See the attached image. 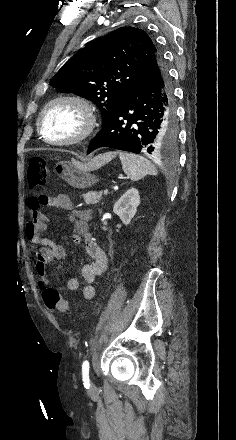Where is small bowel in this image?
<instances>
[{"label":"small bowel","mask_w":236,"mask_h":440,"mask_svg":"<svg viewBox=\"0 0 236 440\" xmlns=\"http://www.w3.org/2000/svg\"><path fill=\"white\" fill-rule=\"evenodd\" d=\"M29 219L25 225L27 240L37 249L35 251V271L38 275V284L41 288L47 285V267L55 261H61L66 257V250L61 245L45 236L48 228V215L42 210L50 207L73 211L74 229L72 240L74 244H84L85 251L91 261L82 266L81 276L87 283L82 288L83 297L91 300L95 296V288L92 282L102 275L108 266V257L89 232L88 222L92 217L89 209L73 210L72 201L68 195L60 194L49 197L46 195L32 196L28 201ZM81 282L78 278H70L67 281V289L76 291Z\"/></svg>","instance_id":"obj_1"}]
</instances>
